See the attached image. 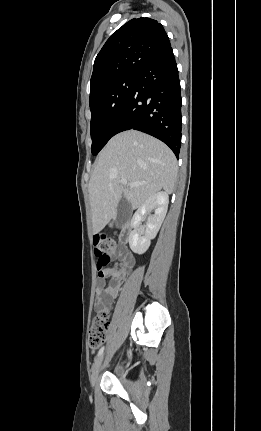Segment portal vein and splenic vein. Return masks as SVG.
Wrapping results in <instances>:
<instances>
[{"label": "portal vein and splenic vein", "instance_id": "portal-vein-and-splenic-vein-1", "mask_svg": "<svg viewBox=\"0 0 261 431\" xmlns=\"http://www.w3.org/2000/svg\"><path fill=\"white\" fill-rule=\"evenodd\" d=\"M120 183L122 184V185H124V186H130V187H135V186H139V185H142L143 183H138V182H131V183H129L127 180H125V179H122L121 181H120Z\"/></svg>", "mask_w": 261, "mask_h": 431}]
</instances>
